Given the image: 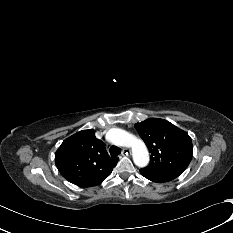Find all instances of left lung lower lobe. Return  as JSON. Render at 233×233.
I'll return each instance as SVG.
<instances>
[{"label":"left lung lower lobe","instance_id":"0a47b994","mask_svg":"<svg viewBox=\"0 0 233 233\" xmlns=\"http://www.w3.org/2000/svg\"><path fill=\"white\" fill-rule=\"evenodd\" d=\"M145 178H147V179H149V180H151V181H153V182H158V183H161V182H159V181H157V180H155V179H152L151 177H149V176H147L146 174H144V173H142V172H140Z\"/></svg>","mask_w":233,"mask_h":233}]
</instances>
